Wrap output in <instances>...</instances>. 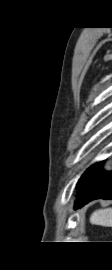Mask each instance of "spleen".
<instances>
[{
	"label": "spleen",
	"instance_id": "spleen-1",
	"mask_svg": "<svg viewBox=\"0 0 112 270\" xmlns=\"http://www.w3.org/2000/svg\"><path fill=\"white\" fill-rule=\"evenodd\" d=\"M90 223L104 227H112V208L99 209L90 216Z\"/></svg>",
	"mask_w": 112,
	"mask_h": 270
}]
</instances>
